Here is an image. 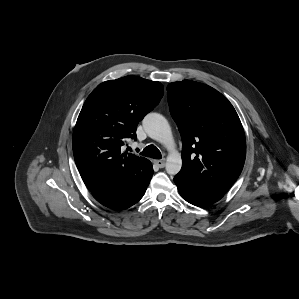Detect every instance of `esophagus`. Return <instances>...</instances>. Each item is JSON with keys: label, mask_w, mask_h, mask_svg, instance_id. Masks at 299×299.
<instances>
[{"label": "esophagus", "mask_w": 299, "mask_h": 299, "mask_svg": "<svg viewBox=\"0 0 299 299\" xmlns=\"http://www.w3.org/2000/svg\"><path fill=\"white\" fill-rule=\"evenodd\" d=\"M154 163L159 167L163 168L165 166V159L162 160H155Z\"/></svg>", "instance_id": "1"}]
</instances>
